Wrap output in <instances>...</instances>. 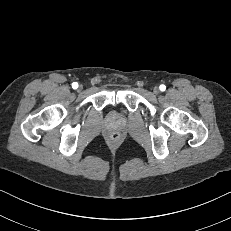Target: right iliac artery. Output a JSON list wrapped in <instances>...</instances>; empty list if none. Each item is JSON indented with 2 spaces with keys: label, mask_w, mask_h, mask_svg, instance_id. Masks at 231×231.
Instances as JSON below:
<instances>
[{
  "label": "right iliac artery",
  "mask_w": 231,
  "mask_h": 231,
  "mask_svg": "<svg viewBox=\"0 0 231 231\" xmlns=\"http://www.w3.org/2000/svg\"><path fill=\"white\" fill-rule=\"evenodd\" d=\"M72 87H73L74 89H77V88H78V83H77V82H74V83L72 84Z\"/></svg>",
  "instance_id": "right-iliac-artery-1"
}]
</instances>
